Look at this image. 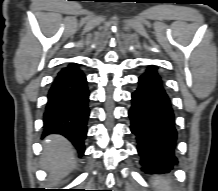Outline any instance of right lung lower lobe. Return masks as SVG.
Returning a JSON list of instances; mask_svg holds the SVG:
<instances>
[{
  "instance_id": "right-lung-lower-lobe-1",
  "label": "right lung lower lobe",
  "mask_w": 218,
  "mask_h": 191,
  "mask_svg": "<svg viewBox=\"0 0 218 191\" xmlns=\"http://www.w3.org/2000/svg\"><path fill=\"white\" fill-rule=\"evenodd\" d=\"M89 91L86 77L75 63L62 68L48 92L43 122L44 136L61 134L69 139L80 156L87 135Z\"/></svg>"
}]
</instances>
